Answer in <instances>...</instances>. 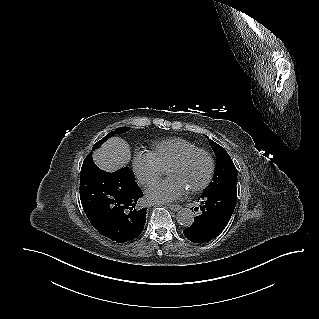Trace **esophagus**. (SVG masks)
Listing matches in <instances>:
<instances>
[{"label": "esophagus", "instance_id": "obj_1", "mask_svg": "<svg viewBox=\"0 0 319 319\" xmlns=\"http://www.w3.org/2000/svg\"><path fill=\"white\" fill-rule=\"evenodd\" d=\"M169 209H171L172 211L177 212L180 209V206L178 205H173V204H167L166 205Z\"/></svg>", "mask_w": 319, "mask_h": 319}]
</instances>
